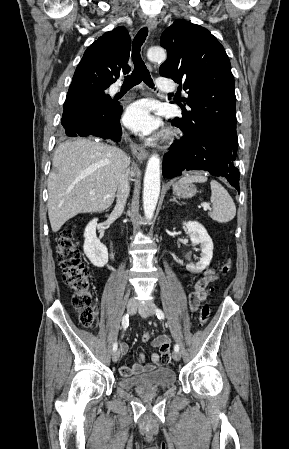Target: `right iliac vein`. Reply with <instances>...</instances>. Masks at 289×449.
Returning <instances> with one entry per match:
<instances>
[{"label":"right iliac vein","instance_id":"right-iliac-vein-1","mask_svg":"<svg viewBox=\"0 0 289 449\" xmlns=\"http://www.w3.org/2000/svg\"><path fill=\"white\" fill-rule=\"evenodd\" d=\"M136 307H137V304H136L135 299L131 298L128 301V304H127V311H128V313L130 315H133L135 313ZM119 357H120V352L117 351V350L114 351L113 354H112L113 362H117L119 360Z\"/></svg>","mask_w":289,"mask_h":449}]
</instances>
